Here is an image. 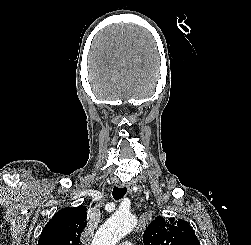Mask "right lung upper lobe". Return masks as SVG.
Wrapping results in <instances>:
<instances>
[{"mask_svg": "<svg viewBox=\"0 0 251 245\" xmlns=\"http://www.w3.org/2000/svg\"><path fill=\"white\" fill-rule=\"evenodd\" d=\"M85 206L59 210L45 225L38 245H79L80 235L87 225Z\"/></svg>", "mask_w": 251, "mask_h": 245, "instance_id": "right-lung-upper-lobe-1", "label": "right lung upper lobe"}]
</instances>
